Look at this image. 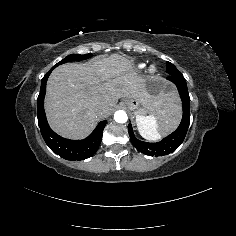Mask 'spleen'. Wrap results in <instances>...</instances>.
I'll use <instances>...</instances> for the list:
<instances>
[{
  "label": "spleen",
  "mask_w": 236,
  "mask_h": 236,
  "mask_svg": "<svg viewBox=\"0 0 236 236\" xmlns=\"http://www.w3.org/2000/svg\"><path fill=\"white\" fill-rule=\"evenodd\" d=\"M177 112L174 108L170 107L167 112L162 116H137L135 118L136 127L139 135L149 142H157L161 140V124L167 122L170 114Z\"/></svg>",
  "instance_id": "1"
}]
</instances>
